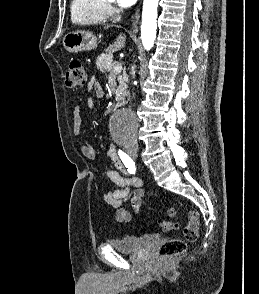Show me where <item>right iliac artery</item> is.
<instances>
[{"label": "right iliac artery", "instance_id": "1", "mask_svg": "<svg viewBox=\"0 0 259 294\" xmlns=\"http://www.w3.org/2000/svg\"><path fill=\"white\" fill-rule=\"evenodd\" d=\"M118 153L124 165L126 166V168H128V172L130 174H135L136 166H135V162L131 159V157H129L126 153H124L121 150H119Z\"/></svg>", "mask_w": 259, "mask_h": 294}]
</instances>
